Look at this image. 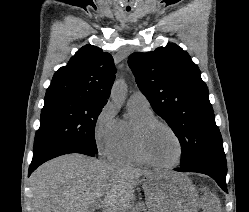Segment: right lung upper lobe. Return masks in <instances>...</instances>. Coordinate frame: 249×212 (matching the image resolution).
Returning a JSON list of instances; mask_svg holds the SVG:
<instances>
[{
    "label": "right lung upper lobe",
    "instance_id": "right-lung-upper-lobe-1",
    "mask_svg": "<svg viewBox=\"0 0 249 212\" xmlns=\"http://www.w3.org/2000/svg\"><path fill=\"white\" fill-rule=\"evenodd\" d=\"M111 54L93 45L82 47L53 76L45 98L80 97L106 104L115 79Z\"/></svg>",
    "mask_w": 249,
    "mask_h": 212
}]
</instances>
